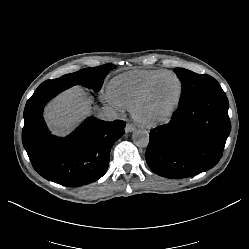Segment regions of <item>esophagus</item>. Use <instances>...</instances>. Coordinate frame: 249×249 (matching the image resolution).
I'll return each instance as SVG.
<instances>
[{"label": "esophagus", "instance_id": "1", "mask_svg": "<svg viewBox=\"0 0 249 249\" xmlns=\"http://www.w3.org/2000/svg\"><path fill=\"white\" fill-rule=\"evenodd\" d=\"M135 129H136L135 126H133L131 123H127V124H126L125 131H126L127 133H131V132H133Z\"/></svg>", "mask_w": 249, "mask_h": 249}]
</instances>
